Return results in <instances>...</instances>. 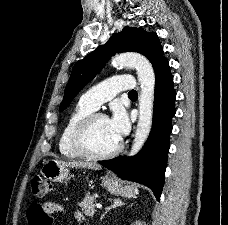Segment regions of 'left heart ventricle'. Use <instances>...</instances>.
Returning a JSON list of instances; mask_svg holds the SVG:
<instances>
[{
	"mask_svg": "<svg viewBox=\"0 0 228 225\" xmlns=\"http://www.w3.org/2000/svg\"><path fill=\"white\" fill-rule=\"evenodd\" d=\"M89 140L91 146L100 152L108 151L119 143V140L110 132L107 119L101 117L93 123Z\"/></svg>",
	"mask_w": 228,
	"mask_h": 225,
	"instance_id": "obj_1",
	"label": "left heart ventricle"
}]
</instances>
